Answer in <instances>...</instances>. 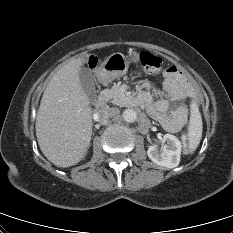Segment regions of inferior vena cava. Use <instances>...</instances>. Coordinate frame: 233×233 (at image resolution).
Instances as JSON below:
<instances>
[{
	"label": "inferior vena cava",
	"mask_w": 233,
	"mask_h": 233,
	"mask_svg": "<svg viewBox=\"0 0 233 233\" xmlns=\"http://www.w3.org/2000/svg\"><path fill=\"white\" fill-rule=\"evenodd\" d=\"M116 114V111L111 110L109 107H103L97 112V118L96 120L102 124L105 125L109 121V117Z\"/></svg>",
	"instance_id": "inferior-vena-cava-1"
}]
</instances>
